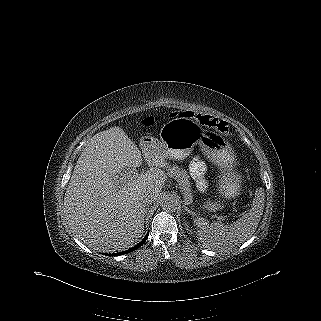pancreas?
I'll list each match as a JSON object with an SVG mask.
<instances>
[{"mask_svg": "<svg viewBox=\"0 0 321 321\" xmlns=\"http://www.w3.org/2000/svg\"><path fill=\"white\" fill-rule=\"evenodd\" d=\"M167 171L171 176L177 179L179 185L181 186V189L186 192L187 200L190 202L192 198L189 193L190 181L188 174L184 170L179 169L177 166H169Z\"/></svg>", "mask_w": 321, "mask_h": 321, "instance_id": "1", "label": "pancreas"}]
</instances>
